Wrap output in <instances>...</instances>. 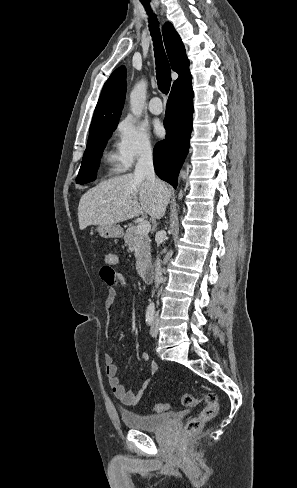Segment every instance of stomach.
Here are the masks:
<instances>
[{"mask_svg": "<svg viewBox=\"0 0 297 488\" xmlns=\"http://www.w3.org/2000/svg\"><path fill=\"white\" fill-rule=\"evenodd\" d=\"M97 231L103 238H120L123 236L122 227L116 224L99 225Z\"/></svg>", "mask_w": 297, "mask_h": 488, "instance_id": "1", "label": "stomach"}]
</instances>
